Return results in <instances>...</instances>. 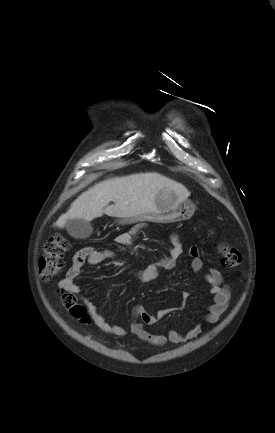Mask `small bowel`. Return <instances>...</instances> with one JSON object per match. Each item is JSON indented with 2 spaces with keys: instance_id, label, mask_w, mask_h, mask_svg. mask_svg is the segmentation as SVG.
<instances>
[{
  "instance_id": "obj_1",
  "label": "small bowel",
  "mask_w": 275,
  "mask_h": 433,
  "mask_svg": "<svg viewBox=\"0 0 275 433\" xmlns=\"http://www.w3.org/2000/svg\"><path fill=\"white\" fill-rule=\"evenodd\" d=\"M136 232L125 231L118 234L115 241L118 245L129 247L133 245V240ZM172 246L169 249L168 255L157 260L155 263L134 272V278L139 282H148L159 276L162 271L172 270L177 259L183 252L182 243L179 237L174 234L171 237ZM191 257V268L194 272H199L203 267V262L200 258V249L198 246L189 248ZM116 259L114 252L109 250H97L93 247H84L77 251L72 259V265L68 269L66 276L60 281V287L76 296L81 295V288L76 284V279L79 277L81 269L85 265L96 266L107 260ZM205 281L209 286V292L212 295L213 302L209 306L205 321L209 324H215L220 321L226 312L230 290L224 284L221 272L216 268H210L205 276ZM183 297H187V293H183ZM88 308L95 324L103 331L116 336H124L127 331L116 324H110L104 316L99 312L97 307L89 300L81 298ZM166 310H160L156 313L148 312L143 306H136L132 312V320L129 324V332L137 338L149 343L154 347H162L167 341L173 344L183 343L196 338L201 334L202 328L200 325H195L187 332L178 330L169 331L168 335L150 333L145 329V326H155L165 315ZM140 319L141 321H138Z\"/></svg>"
}]
</instances>
